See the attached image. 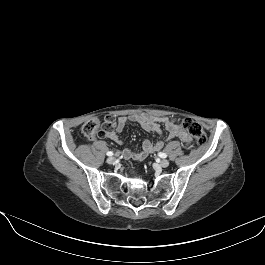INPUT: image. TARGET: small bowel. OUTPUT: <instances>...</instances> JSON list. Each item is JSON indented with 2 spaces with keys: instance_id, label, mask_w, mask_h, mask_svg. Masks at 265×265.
<instances>
[{
  "instance_id": "small-bowel-1",
  "label": "small bowel",
  "mask_w": 265,
  "mask_h": 265,
  "mask_svg": "<svg viewBox=\"0 0 265 265\" xmlns=\"http://www.w3.org/2000/svg\"><path fill=\"white\" fill-rule=\"evenodd\" d=\"M129 122L139 124L147 132L158 135L156 140H145L139 151L124 149L122 156L128 160H143L149 154L159 151L166 140L178 138L186 146L192 143L191 136L177 124L175 117L156 116L147 113H134L127 116H120L113 124V129L107 133V137L117 145H123L124 141L120 134ZM164 126L168 132L167 138H163L161 127Z\"/></svg>"
}]
</instances>
